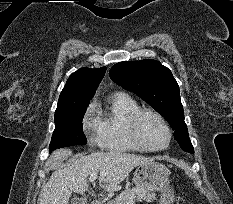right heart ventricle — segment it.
Listing matches in <instances>:
<instances>
[{"label":"right heart ventricle","instance_id":"right-heart-ventricle-1","mask_svg":"<svg viewBox=\"0 0 233 204\" xmlns=\"http://www.w3.org/2000/svg\"><path fill=\"white\" fill-rule=\"evenodd\" d=\"M139 104L130 96L114 94L108 106L99 113L102 147L109 151H142L133 142L128 128L130 117L140 109Z\"/></svg>","mask_w":233,"mask_h":204}]
</instances>
